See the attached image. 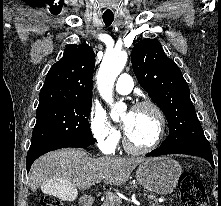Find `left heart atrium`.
<instances>
[{
  "label": "left heart atrium",
  "mask_w": 221,
  "mask_h": 206,
  "mask_svg": "<svg viewBox=\"0 0 221 206\" xmlns=\"http://www.w3.org/2000/svg\"><path fill=\"white\" fill-rule=\"evenodd\" d=\"M123 129L125 130V132L127 131V129H128V122L127 121H124Z\"/></svg>",
  "instance_id": "39dd6f15"
}]
</instances>
